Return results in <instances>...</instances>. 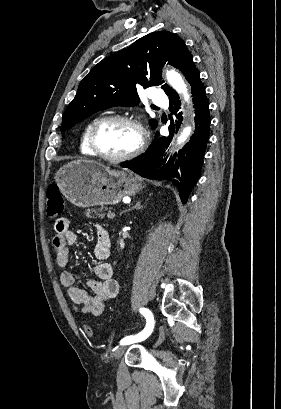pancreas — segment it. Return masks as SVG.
<instances>
[{
    "instance_id": "cf45deb5",
    "label": "pancreas",
    "mask_w": 281,
    "mask_h": 409,
    "mask_svg": "<svg viewBox=\"0 0 281 409\" xmlns=\"http://www.w3.org/2000/svg\"><path fill=\"white\" fill-rule=\"evenodd\" d=\"M105 211H107V209H105ZM92 215H94L93 219H103V217H105L103 209H87L86 217H88V219H92Z\"/></svg>"
}]
</instances>
